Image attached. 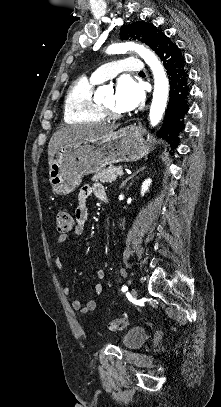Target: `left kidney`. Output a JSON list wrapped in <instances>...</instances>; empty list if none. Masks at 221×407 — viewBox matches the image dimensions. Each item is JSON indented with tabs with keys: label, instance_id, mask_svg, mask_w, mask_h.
<instances>
[{
	"label": "left kidney",
	"instance_id": "1",
	"mask_svg": "<svg viewBox=\"0 0 221 407\" xmlns=\"http://www.w3.org/2000/svg\"><path fill=\"white\" fill-rule=\"evenodd\" d=\"M151 182H152V180L149 178V179H146V180L142 183V186H141V195H142V196L148 191Z\"/></svg>",
	"mask_w": 221,
	"mask_h": 407
}]
</instances>
